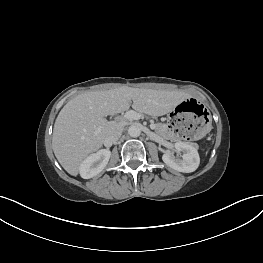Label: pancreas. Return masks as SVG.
<instances>
[{
	"instance_id": "obj_1",
	"label": "pancreas",
	"mask_w": 263,
	"mask_h": 263,
	"mask_svg": "<svg viewBox=\"0 0 263 263\" xmlns=\"http://www.w3.org/2000/svg\"><path fill=\"white\" fill-rule=\"evenodd\" d=\"M155 133L165 139H173L174 134L171 131V129L166 125L162 123H157ZM194 146H197L196 143H191Z\"/></svg>"
}]
</instances>
